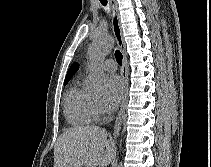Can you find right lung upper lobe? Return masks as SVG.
<instances>
[{
  "label": "right lung upper lobe",
  "mask_w": 211,
  "mask_h": 167,
  "mask_svg": "<svg viewBox=\"0 0 211 167\" xmlns=\"http://www.w3.org/2000/svg\"><path fill=\"white\" fill-rule=\"evenodd\" d=\"M79 66L77 63H74L70 69L68 70L67 72V75H66V78H65V81H69V79L71 78V76L78 70Z\"/></svg>",
  "instance_id": "obj_1"
}]
</instances>
